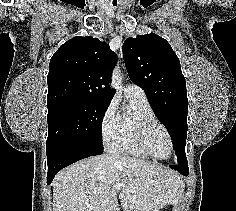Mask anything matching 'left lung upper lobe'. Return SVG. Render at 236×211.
Returning a JSON list of instances; mask_svg holds the SVG:
<instances>
[{
  "mask_svg": "<svg viewBox=\"0 0 236 211\" xmlns=\"http://www.w3.org/2000/svg\"><path fill=\"white\" fill-rule=\"evenodd\" d=\"M123 57L131 81L145 91L152 110L170 134L178 163H187L188 98L177 55L164 38L146 34L126 39Z\"/></svg>",
  "mask_w": 236,
  "mask_h": 211,
  "instance_id": "5c2ea615",
  "label": "left lung upper lobe"
}]
</instances>
